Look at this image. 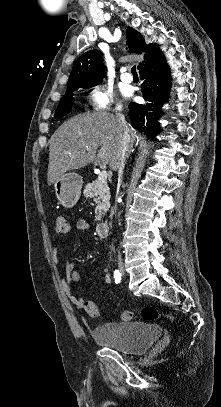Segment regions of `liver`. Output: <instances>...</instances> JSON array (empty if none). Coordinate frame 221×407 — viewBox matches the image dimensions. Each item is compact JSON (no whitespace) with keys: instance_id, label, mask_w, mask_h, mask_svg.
Returning a JSON list of instances; mask_svg holds the SVG:
<instances>
[{"instance_id":"1","label":"liver","mask_w":221,"mask_h":407,"mask_svg":"<svg viewBox=\"0 0 221 407\" xmlns=\"http://www.w3.org/2000/svg\"><path fill=\"white\" fill-rule=\"evenodd\" d=\"M128 129L132 148L138 137L134 129ZM122 136L123 127L118 118L106 112L86 113L65 121L49 141L48 185L67 171L91 163L108 165L116 171Z\"/></svg>"}]
</instances>
